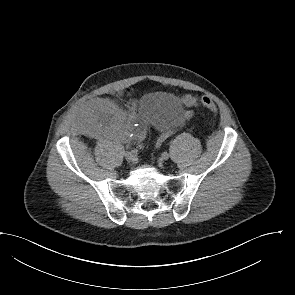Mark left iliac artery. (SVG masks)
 Instances as JSON below:
<instances>
[{"label":"left iliac artery","mask_w":295,"mask_h":295,"mask_svg":"<svg viewBox=\"0 0 295 295\" xmlns=\"http://www.w3.org/2000/svg\"><path fill=\"white\" fill-rule=\"evenodd\" d=\"M166 154H167V152H164V153H162V156H163V157H165V156H166Z\"/></svg>","instance_id":"left-iliac-artery-1"}]
</instances>
